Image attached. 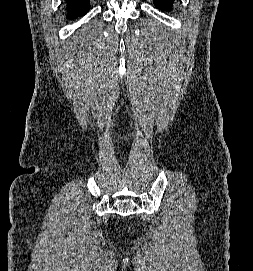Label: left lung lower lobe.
<instances>
[{
    "instance_id": "obj_1",
    "label": "left lung lower lobe",
    "mask_w": 253,
    "mask_h": 271,
    "mask_svg": "<svg viewBox=\"0 0 253 271\" xmlns=\"http://www.w3.org/2000/svg\"><path fill=\"white\" fill-rule=\"evenodd\" d=\"M155 6L162 10H171L174 0H153Z\"/></svg>"
}]
</instances>
